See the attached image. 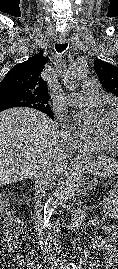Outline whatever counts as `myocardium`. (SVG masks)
<instances>
[{
    "label": "myocardium",
    "instance_id": "1",
    "mask_svg": "<svg viewBox=\"0 0 118 269\" xmlns=\"http://www.w3.org/2000/svg\"><path fill=\"white\" fill-rule=\"evenodd\" d=\"M118 113V105H114L112 106L106 113V116H110V115H114ZM107 146L111 149H113L114 151L118 152V143L113 142L109 139H105V138H97L96 140V149L100 148V146Z\"/></svg>",
    "mask_w": 118,
    "mask_h": 269
}]
</instances>
